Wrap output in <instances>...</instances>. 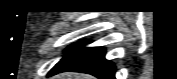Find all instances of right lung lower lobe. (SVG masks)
<instances>
[{
  "mask_svg": "<svg viewBox=\"0 0 177 79\" xmlns=\"http://www.w3.org/2000/svg\"><path fill=\"white\" fill-rule=\"evenodd\" d=\"M105 49L101 47L80 48L62 59L49 76L65 71H76L94 75L100 79H115V66L104 58Z\"/></svg>",
  "mask_w": 177,
  "mask_h": 79,
  "instance_id": "obj_1",
  "label": "right lung lower lobe"
}]
</instances>
